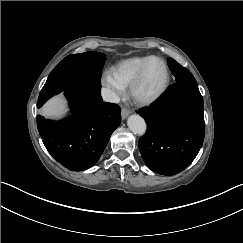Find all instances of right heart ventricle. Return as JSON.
Listing matches in <instances>:
<instances>
[{
	"instance_id": "obj_1",
	"label": "right heart ventricle",
	"mask_w": 243,
	"mask_h": 243,
	"mask_svg": "<svg viewBox=\"0 0 243 243\" xmlns=\"http://www.w3.org/2000/svg\"><path fill=\"white\" fill-rule=\"evenodd\" d=\"M159 58L155 55H137L119 60L113 66L115 73L125 88H130L142 67L150 60Z\"/></svg>"
}]
</instances>
